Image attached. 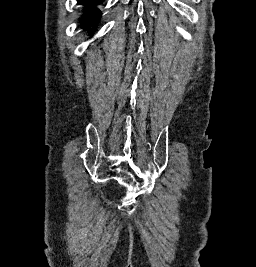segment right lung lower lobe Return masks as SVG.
Here are the masks:
<instances>
[{"label": "right lung lower lobe", "instance_id": "obj_1", "mask_svg": "<svg viewBox=\"0 0 256 267\" xmlns=\"http://www.w3.org/2000/svg\"><path fill=\"white\" fill-rule=\"evenodd\" d=\"M104 0H78L79 4L84 6V13L80 19V27L89 31L90 34L94 32L95 26L100 18L101 11L97 8Z\"/></svg>", "mask_w": 256, "mask_h": 267}]
</instances>
